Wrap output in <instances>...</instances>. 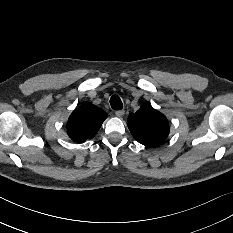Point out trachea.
Instances as JSON below:
<instances>
[{"mask_svg": "<svg viewBox=\"0 0 233 233\" xmlns=\"http://www.w3.org/2000/svg\"><path fill=\"white\" fill-rule=\"evenodd\" d=\"M110 104L113 110H121L123 108L121 99L116 95L110 98Z\"/></svg>", "mask_w": 233, "mask_h": 233, "instance_id": "3493384b", "label": "trachea"}]
</instances>
